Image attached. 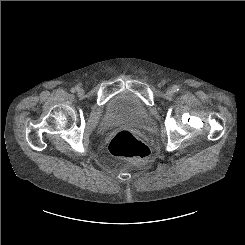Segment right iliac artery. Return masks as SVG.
Returning a JSON list of instances; mask_svg holds the SVG:
<instances>
[{
    "label": "right iliac artery",
    "mask_w": 245,
    "mask_h": 245,
    "mask_svg": "<svg viewBox=\"0 0 245 245\" xmlns=\"http://www.w3.org/2000/svg\"><path fill=\"white\" fill-rule=\"evenodd\" d=\"M77 90H78V87H75V88H72V89H71V92L74 93V92L77 91Z\"/></svg>",
    "instance_id": "right-iliac-artery-1"
}]
</instances>
